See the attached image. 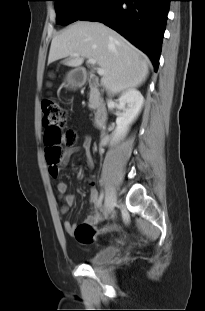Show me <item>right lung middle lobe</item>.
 Here are the masks:
<instances>
[{
  "label": "right lung middle lobe",
  "instance_id": "obj_1",
  "mask_svg": "<svg viewBox=\"0 0 205 311\" xmlns=\"http://www.w3.org/2000/svg\"><path fill=\"white\" fill-rule=\"evenodd\" d=\"M55 1L56 22L68 25L92 11L101 0H53Z\"/></svg>",
  "mask_w": 205,
  "mask_h": 311
}]
</instances>
